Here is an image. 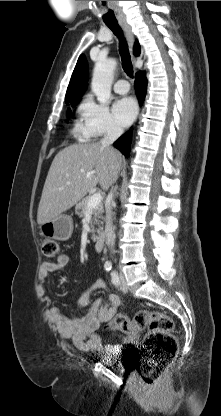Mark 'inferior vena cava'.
I'll return each mask as SVG.
<instances>
[{"label": "inferior vena cava", "mask_w": 221, "mask_h": 416, "mask_svg": "<svg viewBox=\"0 0 221 416\" xmlns=\"http://www.w3.org/2000/svg\"><path fill=\"white\" fill-rule=\"evenodd\" d=\"M123 129L115 124H111L104 137L101 139L100 143L102 147L107 148L114 151V148L112 147V144L122 135ZM113 198V192L110 191L108 194V202L105 206L106 209V226H105V237H106V244L113 249L115 245V233H114V227L112 223V201Z\"/></svg>", "instance_id": "602c4592"}]
</instances>
